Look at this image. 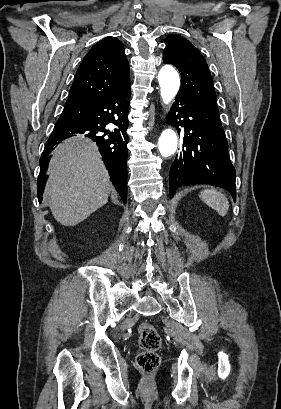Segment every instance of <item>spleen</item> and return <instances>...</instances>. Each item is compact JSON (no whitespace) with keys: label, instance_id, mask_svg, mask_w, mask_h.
<instances>
[{"label":"spleen","instance_id":"3e777b00","mask_svg":"<svg viewBox=\"0 0 281 409\" xmlns=\"http://www.w3.org/2000/svg\"><path fill=\"white\" fill-rule=\"evenodd\" d=\"M199 196L201 200L206 202L208 207L214 209L218 215H221V217H225V215H227L229 200L225 194L218 192V190H215V188H206V190H202V192H200Z\"/></svg>","mask_w":281,"mask_h":409}]
</instances>
